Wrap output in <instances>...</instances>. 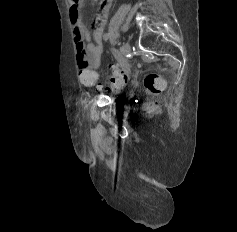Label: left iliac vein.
Masks as SVG:
<instances>
[{
  "instance_id": "left-iliac-vein-1",
  "label": "left iliac vein",
  "mask_w": 237,
  "mask_h": 232,
  "mask_svg": "<svg viewBox=\"0 0 237 232\" xmlns=\"http://www.w3.org/2000/svg\"><path fill=\"white\" fill-rule=\"evenodd\" d=\"M131 51V46H130V44L129 43H124L123 45H122V47H121V52L123 53V54H128L129 52Z\"/></svg>"
}]
</instances>
